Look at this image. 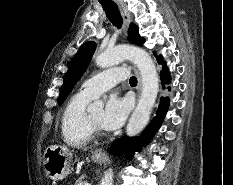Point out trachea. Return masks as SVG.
Returning a JSON list of instances; mask_svg holds the SVG:
<instances>
[{
	"label": "trachea",
	"instance_id": "3493384b",
	"mask_svg": "<svg viewBox=\"0 0 233 185\" xmlns=\"http://www.w3.org/2000/svg\"><path fill=\"white\" fill-rule=\"evenodd\" d=\"M108 19L117 28H121L123 19L115 3H101ZM130 84H137L136 77L132 76L129 80Z\"/></svg>",
	"mask_w": 233,
	"mask_h": 185
}]
</instances>
